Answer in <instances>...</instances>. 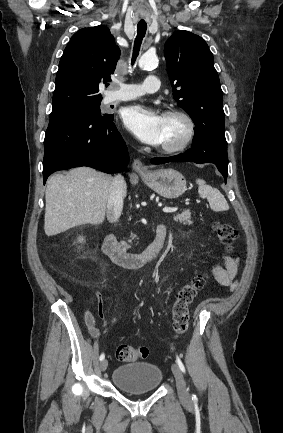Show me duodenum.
<instances>
[{"instance_id": "obj_1", "label": "duodenum", "mask_w": 283, "mask_h": 433, "mask_svg": "<svg viewBox=\"0 0 283 433\" xmlns=\"http://www.w3.org/2000/svg\"><path fill=\"white\" fill-rule=\"evenodd\" d=\"M166 234V226L159 224L156 227L153 241L141 253H129L125 251L118 243L116 236L108 234L103 241L102 250L115 264L124 268L139 269L152 262L159 255L163 248Z\"/></svg>"}]
</instances>
